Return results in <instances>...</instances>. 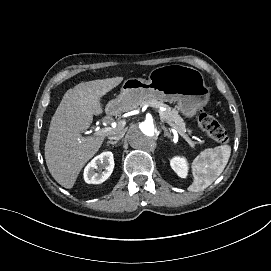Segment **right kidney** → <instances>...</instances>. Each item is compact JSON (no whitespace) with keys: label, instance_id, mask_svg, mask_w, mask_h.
<instances>
[{"label":"right kidney","instance_id":"ca27d5eb","mask_svg":"<svg viewBox=\"0 0 271 271\" xmlns=\"http://www.w3.org/2000/svg\"><path fill=\"white\" fill-rule=\"evenodd\" d=\"M104 169V171H102ZM114 169L113 153L106 151L96 156L84 169V180L88 184H101ZM98 170V172H97Z\"/></svg>","mask_w":271,"mask_h":271}]
</instances>
